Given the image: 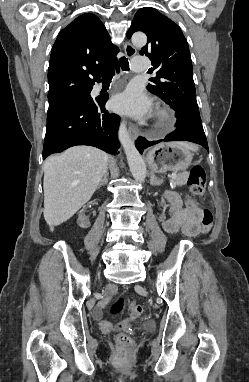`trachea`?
Here are the masks:
<instances>
[{
  "instance_id": "trachea-1",
  "label": "trachea",
  "mask_w": 249,
  "mask_h": 382,
  "mask_svg": "<svg viewBox=\"0 0 249 382\" xmlns=\"http://www.w3.org/2000/svg\"><path fill=\"white\" fill-rule=\"evenodd\" d=\"M120 66L122 70L129 71V62L126 57L120 58ZM114 76V70L108 71L104 74L103 78H112Z\"/></svg>"
}]
</instances>
